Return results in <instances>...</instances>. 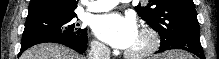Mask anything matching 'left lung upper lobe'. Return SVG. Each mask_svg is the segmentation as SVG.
I'll use <instances>...</instances> for the list:
<instances>
[{
  "instance_id": "left-lung-upper-lobe-1",
  "label": "left lung upper lobe",
  "mask_w": 219,
  "mask_h": 59,
  "mask_svg": "<svg viewBox=\"0 0 219 59\" xmlns=\"http://www.w3.org/2000/svg\"><path fill=\"white\" fill-rule=\"evenodd\" d=\"M138 15L167 43L178 35L199 31L193 0H149L146 6L136 7Z\"/></svg>"
}]
</instances>
